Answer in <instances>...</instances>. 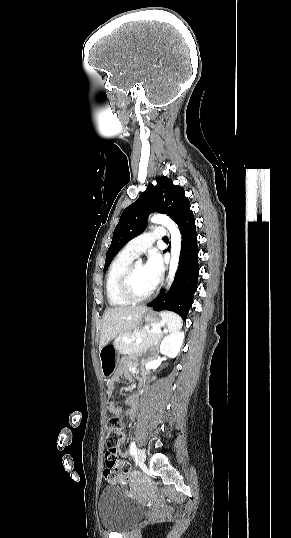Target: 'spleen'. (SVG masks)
<instances>
[{
  "mask_svg": "<svg viewBox=\"0 0 291 538\" xmlns=\"http://www.w3.org/2000/svg\"><path fill=\"white\" fill-rule=\"evenodd\" d=\"M170 332L179 331L182 327V318L174 312L164 311L161 313Z\"/></svg>",
  "mask_w": 291,
  "mask_h": 538,
  "instance_id": "obj_1",
  "label": "spleen"
}]
</instances>
